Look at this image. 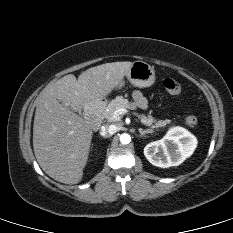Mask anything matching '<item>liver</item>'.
I'll use <instances>...</instances> for the list:
<instances>
[{"mask_svg": "<svg viewBox=\"0 0 233 233\" xmlns=\"http://www.w3.org/2000/svg\"><path fill=\"white\" fill-rule=\"evenodd\" d=\"M132 62L87 69L46 86L36 99L33 149L42 170L56 181L77 184L87 164L92 129L77 113L99 104L129 72Z\"/></svg>", "mask_w": 233, "mask_h": 233, "instance_id": "1", "label": "liver"}]
</instances>
